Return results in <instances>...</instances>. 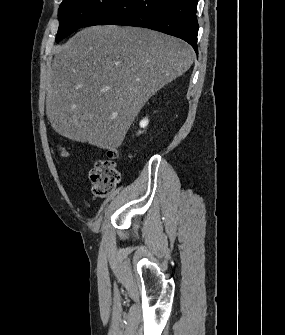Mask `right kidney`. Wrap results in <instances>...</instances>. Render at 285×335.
Wrapping results in <instances>:
<instances>
[{
	"label": "right kidney",
	"mask_w": 285,
	"mask_h": 335,
	"mask_svg": "<svg viewBox=\"0 0 285 335\" xmlns=\"http://www.w3.org/2000/svg\"><path fill=\"white\" fill-rule=\"evenodd\" d=\"M148 126V120L147 118H144V120H141L140 122V128H146Z\"/></svg>",
	"instance_id": "1"
}]
</instances>
